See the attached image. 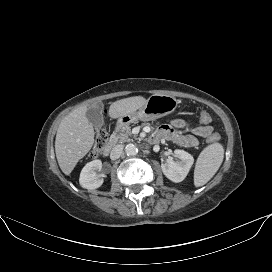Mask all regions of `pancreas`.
<instances>
[{
	"label": "pancreas",
	"mask_w": 272,
	"mask_h": 272,
	"mask_svg": "<svg viewBox=\"0 0 272 272\" xmlns=\"http://www.w3.org/2000/svg\"><path fill=\"white\" fill-rule=\"evenodd\" d=\"M132 135L131 126L124 125L118 129H116L111 135V139L114 142L123 143L128 140V138Z\"/></svg>",
	"instance_id": "obj_1"
}]
</instances>
